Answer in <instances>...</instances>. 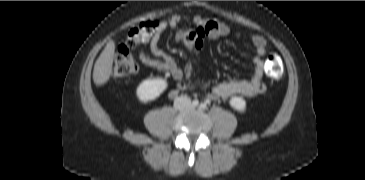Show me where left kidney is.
<instances>
[{
	"instance_id": "left-kidney-1",
	"label": "left kidney",
	"mask_w": 365,
	"mask_h": 180,
	"mask_svg": "<svg viewBox=\"0 0 365 180\" xmlns=\"http://www.w3.org/2000/svg\"><path fill=\"white\" fill-rule=\"evenodd\" d=\"M231 107L239 112L246 110V101L242 97H232L229 101Z\"/></svg>"
}]
</instances>
